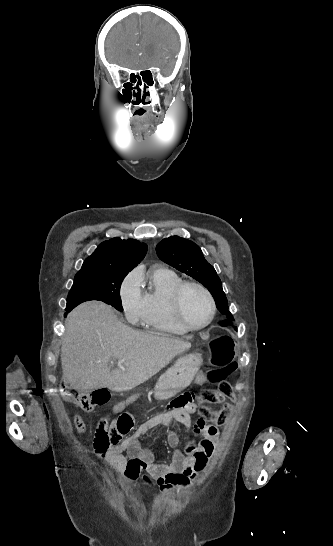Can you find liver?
Segmentation results:
<instances>
[{"instance_id": "liver-1", "label": "liver", "mask_w": 333, "mask_h": 546, "mask_svg": "<svg viewBox=\"0 0 333 546\" xmlns=\"http://www.w3.org/2000/svg\"><path fill=\"white\" fill-rule=\"evenodd\" d=\"M65 326L63 380L75 390H131L191 347L181 339L142 333L124 325L112 308L100 301L76 307ZM112 358L121 366L111 371L108 364Z\"/></svg>"}]
</instances>
